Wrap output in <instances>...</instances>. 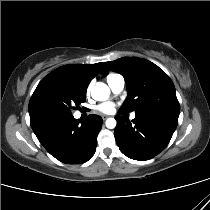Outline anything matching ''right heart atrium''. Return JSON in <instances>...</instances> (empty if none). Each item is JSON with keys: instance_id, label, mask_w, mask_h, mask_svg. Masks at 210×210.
<instances>
[{"instance_id": "1", "label": "right heart atrium", "mask_w": 210, "mask_h": 210, "mask_svg": "<svg viewBox=\"0 0 210 210\" xmlns=\"http://www.w3.org/2000/svg\"><path fill=\"white\" fill-rule=\"evenodd\" d=\"M90 89H91V86H89V87L87 88V92H89V91H90Z\"/></svg>"}]
</instances>
